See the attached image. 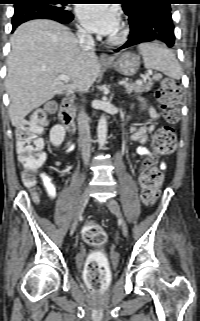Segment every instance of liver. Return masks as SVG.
<instances>
[{
    "mask_svg": "<svg viewBox=\"0 0 200 321\" xmlns=\"http://www.w3.org/2000/svg\"><path fill=\"white\" fill-rule=\"evenodd\" d=\"M99 71L94 51L83 50L67 27L45 19L23 23L11 37L7 59L5 84L12 125L19 126L55 95L87 90ZM59 74L68 76L71 83L58 80Z\"/></svg>",
    "mask_w": 200,
    "mask_h": 321,
    "instance_id": "liver-1",
    "label": "liver"
}]
</instances>
